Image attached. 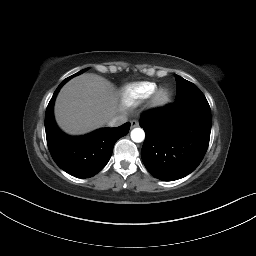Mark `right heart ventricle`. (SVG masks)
I'll list each match as a JSON object with an SVG mask.
<instances>
[{
    "mask_svg": "<svg viewBox=\"0 0 256 256\" xmlns=\"http://www.w3.org/2000/svg\"><path fill=\"white\" fill-rule=\"evenodd\" d=\"M157 85L154 82H138L127 85L122 92V100L125 105H136L147 99L156 91Z\"/></svg>",
    "mask_w": 256,
    "mask_h": 256,
    "instance_id": "obj_1",
    "label": "right heart ventricle"
}]
</instances>
